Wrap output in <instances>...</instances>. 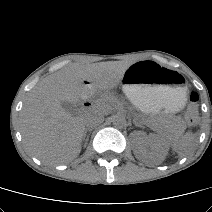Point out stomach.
<instances>
[{"label": "stomach", "instance_id": "stomach-1", "mask_svg": "<svg viewBox=\"0 0 212 212\" xmlns=\"http://www.w3.org/2000/svg\"><path fill=\"white\" fill-rule=\"evenodd\" d=\"M121 81L123 92L142 113L177 111L186 103V87L178 73L156 62L130 65Z\"/></svg>", "mask_w": 212, "mask_h": 212}]
</instances>
